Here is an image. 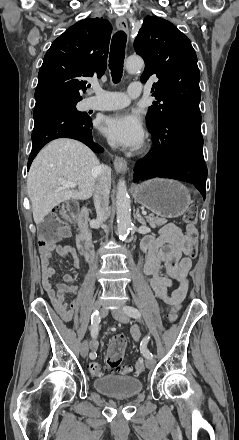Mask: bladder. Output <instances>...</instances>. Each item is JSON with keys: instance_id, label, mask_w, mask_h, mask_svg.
<instances>
[{"instance_id": "bladder-1", "label": "bladder", "mask_w": 239, "mask_h": 440, "mask_svg": "<svg viewBox=\"0 0 239 440\" xmlns=\"http://www.w3.org/2000/svg\"><path fill=\"white\" fill-rule=\"evenodd\" d=\"M94 387L99 393L117 399L137 396L143 389L142 381L132 376H104L95 379Z\"/></svg>"}]
</instances>
